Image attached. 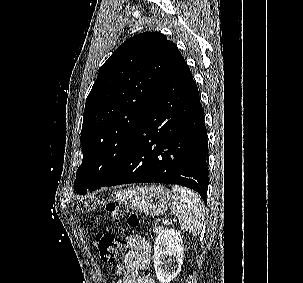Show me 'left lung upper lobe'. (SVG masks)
Returning a JSON list of instances; mask_svg holds the SVG:
<instances>
[{
    "label": "left lung upper lobe",
    "mask_w": 303,
    "mask_h": 283,
    "mask_svg": "<svg viewBox=\"0 0 303 283\" xmlns=\"http://www.w3.org/2000/svg\"><path fill=\"white\" fill-rule=\"evenodd\" d=\"M179 54L164 34L144 32L126 40L104 63L85 104L83 161L74 182L78 194L99 188L117 171Z\"/></svg>",
    "instance_id": "1"
}]
</instances>
